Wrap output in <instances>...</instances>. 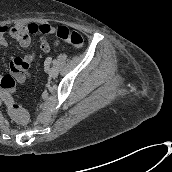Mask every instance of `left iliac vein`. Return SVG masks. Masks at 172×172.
I'll return each instance as SVG.
<instances>
[{"mask_svg": "<svg viewBox=\"0 0 172 172\" xmlns=\"http://www.w3.org/2000/svg\"><path fill=\"white\" fill-rule=\"evenodd\" d=\"M46 70L48 71V74L50 77H52V78L57 77L58 69L56 67H54V66L51 68L46 67Z\"/></svg>", "mask_w": 172, "mask_h": 172, "instance_id": "obj_1", "label": "left iliac vein"}]
</instances>
